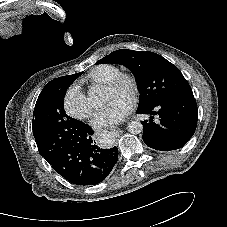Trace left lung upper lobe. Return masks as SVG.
<instances>
[{
  "instance_id": "left-lung-upper-lobe-1",
  "label": "left lung upper lobe",
  "mask_w": 227,
  "mask_h": 227,
  "mask_svg": "<svg viewBox=\"0 0 227 227\" xmlns=\"http://www.w3.org/2000/svg\"><path fill=\"white\" fill-rule=\"evenodd\" d=\"M126 66L135 76L140 93L139 108L169 98L193 95L179 69L153 52L120 49L96 62Z\"/></svg>"
}]
</instances>
